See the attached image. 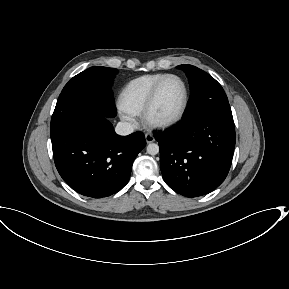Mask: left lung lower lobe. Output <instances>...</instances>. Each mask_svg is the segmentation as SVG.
Returning <instances> with one entry per match:
<instances>
[{"instance_id":"0a47b994","label":"left lung lower lobe","mask_w":289,"mask_h":289,"mask_svg":"<svg viewBox=\"0 0 289 289\" xmlns=\"http://www.w3.org/2000/svg\"><path fill=\"white\" fill-rule=\"evenodd\" d=\"M154 137L163 179L177 193L205 195L226 178L235 147L233 118L199 114Z\"/></svg>"}]
</instances>
